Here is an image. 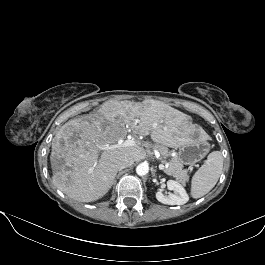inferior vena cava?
Returning a JSON list of instances; mask_svg holds the SVG:
<instances>
[{"label":"inferior vena cava","instance_id":"obj_1","mask_svg":"<svg viewBox=\"0 0 265 265\" xmlns=\"http://www.w3.org/2000/svg\"><path fill=\"white\" fill-rule=\"evenodd\" d=\"M133 163H134V160L133 159L126 158V159L118 162L117 165H116V168H117V170L120 171L122 169H125L127 167H130Z\"/></svg>","mask_w":265,"mask_h":265}]
</instances>
